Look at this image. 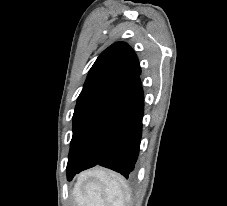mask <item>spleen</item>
I'll list each match as a JSON object with an SVG mask.
<instances>
[{
  "mask_svg": "<svg viewBox=\"0 0 227 206\" xmlns=\"http://www.w3.org/2000/svg\"><path fill=\"white\" fill-rule=\"evenodd\" d=\"M100 183L88 181L82 176L75 185L74 194L79 206H125L130 197L126 184H121L116 176L96 170L91 173Z\"/></svg>",
  "mask_w": 227,
  "mask_h": 206,
  "instance_id": "obj_1",
  "label": "spleen"
}]
</instances>
